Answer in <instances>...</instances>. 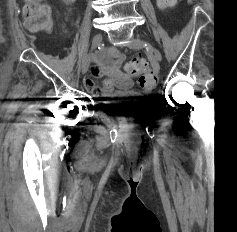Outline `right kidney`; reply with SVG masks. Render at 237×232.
<instances>
[{
	"label": "right kidney",
	"mask_w": 237,
	"mask_h": 232,
	"mask_svg": "<svg viewBox=\"0 0 237 232\" xmlns=\"http://www.w3.org/2000/svg\"><path fill=\"white\" fill-rule=\"evenodd\" d=\"M66 4H72L75 2V0H63Z\"/></svg>",
	"instance_id": "obj_1"
}]
</instances>
